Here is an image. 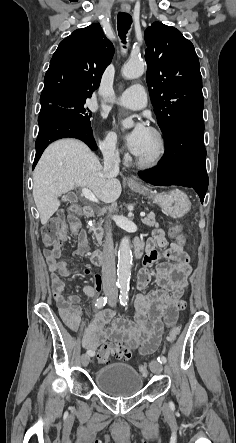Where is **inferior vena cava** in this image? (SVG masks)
I'll return each mask as SVG.
<instances>
[{"label":"inferior vena cava","instance_id":"1","mask_svg":"<svg viewBox=\"0 0 236 443\" xmlns=\"http://www.w3.org/2000/svg\"><path fill=\"white\" fill-rule=\"evenodd\" d=\"M104 172L108 177H115L119 173L120 156L115 151L113 145L103 150ZM103 291L111 305L117 302L118 291L116 288V269L114 245L110 227L107 228L105 241L103 244V263H102Z\"/></svg>","mask_w":236,"mask_h":443}]
</instances>
